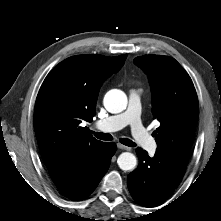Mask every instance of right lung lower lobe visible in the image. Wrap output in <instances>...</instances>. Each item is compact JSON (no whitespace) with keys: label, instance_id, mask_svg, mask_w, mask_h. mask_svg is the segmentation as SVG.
<instances>
[{"label":"right lung lower lobe","instance_id":"1","mask_svg":"<svg viewBox=\"0 0 221 221\" xmlns=\"http://www.w3.org/2000/svg\"><path fill=\"white\" fill-rule=\"evenodd\" d=\"M115 150L114 143H103L93 154L49 168L50 176L61 194L71 200H82L93 192L107 172Z\"/></svg>","mask_w":221,"mask_h":221}]
</instances>
